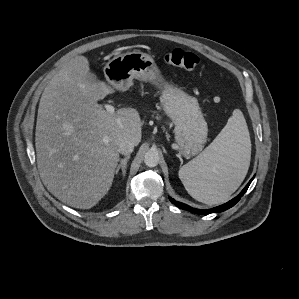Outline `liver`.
<instances>
[{
  "instance_id": "1",
  "label": "liver",
  "mask_w": 299,
  "mask_h": 299,
  "mask_svg": "<svg viewBox=\"0 0 299 299\" xmlns=\"http://www.w3.org/2000/svg\"><path fill=\"white\" fill-rule=\"evenodd\" d=\"M89 61L77 56L50 80L40 99L35 133L37 167L47 190L64 204L94 207L110 190L122 140L139 144L142 122L135 108L114 114L98 103L113 90L88 82Z\"/></svg>"
}]
</instances>
